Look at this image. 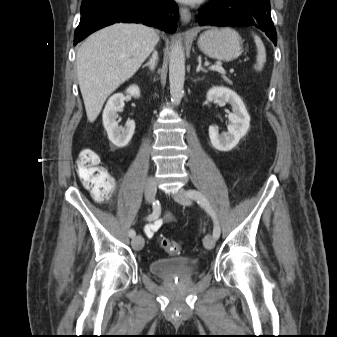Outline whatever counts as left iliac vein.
<instances>
[{"instance_id": "4c4485c4", "label": "left iliac vein", "mask_w": 337, "mask_h": 337, "mask_svg": "<svg viewBox=\"0 0 337 337\" xmlns=\"http://www.w3.org/2000/svg\"><path fill=\"white\" fill-rule=\"evenodd\" d=\"M174 199L180 204L183 205H191V199L187 195L186 191L184 189H179L176 194H174ZM204 246L206 249L211 250L215 246V238L212 235L205 236L203 240Z\"/></svg>"}]
</instances>
